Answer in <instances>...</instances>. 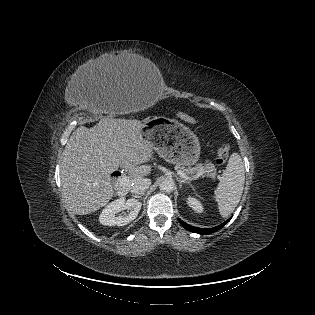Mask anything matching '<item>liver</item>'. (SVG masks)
I'll return each mask as SVG.
<instances>
[{
    "label": "liver",
    "instance_id": "6515ba94",
    "mask_svg": "<svg viewBox=\"0 0 315 315\" xmlns=\"http://www.w3.org/2000/svg\"><path fill=\"white\" fill-rule=\"evenodd\" d=\"M143 126L136 119L103 117L94 127L80 126L72 133L62 153L60 178L73 213L86 215L105 206L114 195L111 173L119 167L129 174V183L118 191L121 197L135 180L151 173L150 166L142 165L154 150L143 138Z\"/></svg>",
    "mask_w": 315,
    "mask_h": 315
}]
</instances>
